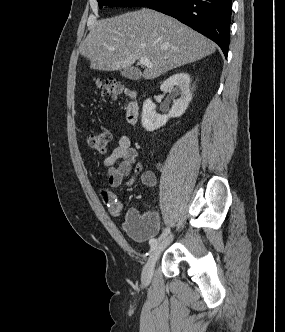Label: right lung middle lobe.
<instances>
[{"label": "right lung middle lobe", "mask_w": 285, "mask_h": 332, "mask_svg": "<svg viewBox=\"0 0 285 332\" xmlns=\"http://www.w3.org/2000/svg\"><path fill=\"white\" fill-rule=\"evenodd\" d=\"M99 3V8L103 6L110 7H135V6H145L151 0H97Z\"/></svg>", "instance_id": "right-lung-middle-lobe-1"}]
</instances>
